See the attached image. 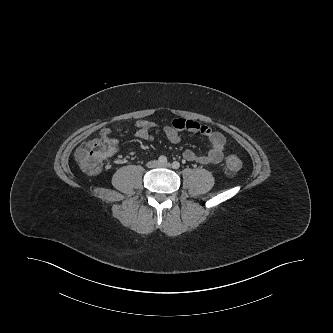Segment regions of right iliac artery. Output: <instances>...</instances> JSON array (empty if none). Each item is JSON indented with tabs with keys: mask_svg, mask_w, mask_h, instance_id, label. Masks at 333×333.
Segmentation results:
<instances>
[{
	"mask_svg": "<svg viewBox=\"0 0 333 333\" xmlns=\"http://www.w3.org/2000/svg\"><path fill=\"white\" fill-rule=\"evenodd\" d=\"M158 162L160 164H166L167 163V158L164 155H162L158 158Z\"/></svg>",
	"mask_w": 333,
	"mask_h": 333,
	"instance_id": "obj_1",
	"label": "right iliac artery"
}]
</instances>
